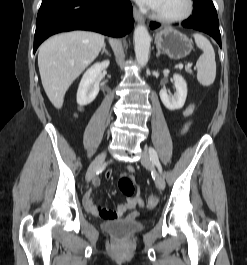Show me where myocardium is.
<instances>
[{
  "label": "myocardium",
  "mask_w": 247,
  "mask_h": 265,
  "mask_svg": "<svg viewBox=\"0 0 247 265\" xmlns=\"http://www.w3.org/2000/svg\"><path fill=\"white\" fill-rule=\"evenodd\" d=\"M185 3L186 5H185L184 10L177 15L167 16V15L160 14L155 10H152L151 15L153 16L154 19L164 24L181 23L187 20L193 14L195 10L194 0H186Z\"/></svg>",
  "instance_id": "1"
}]
</instances>
